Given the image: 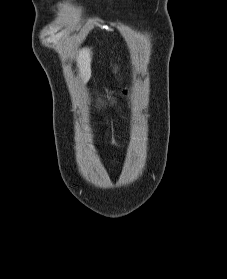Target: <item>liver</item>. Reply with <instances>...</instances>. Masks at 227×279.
<instances>
[{
    "label": "liver",
    "instance_id": "6515ba94",
    "mask_svg": "<svg viewBox=\"0 0 227 279\" xmlns=\"http://www.w3.org/2000/svg\"><path fill=\"white\" fill-rule=\"evenodd\" d=\"M91 60L92 56L90 49L84 48L79 51L77 67L84 84H86L91 77Z\"/></svg>",
    "mask_w": 227,
    "mask_h": 279
}]
</instances>
